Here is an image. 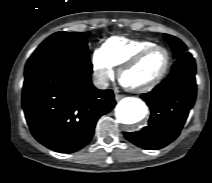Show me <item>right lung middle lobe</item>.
<instances>
[{
	"label": "right lung middle lobe",
	"mask_w": 212,
	"mask_h": 183,
	"mask_svg": "<svg viewBox=\"0 0 212 183\" xmlns=\"http://www.w3.org/2000/svg\"><path fill=\"white\" fill-rule=\"evenodd\" d=\"M86 33L57 32L45 39L28 61L44 58L89 59Z\"/></svg>",
	"instance_id": "obj_1"
}]
</instances>
